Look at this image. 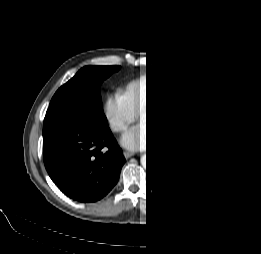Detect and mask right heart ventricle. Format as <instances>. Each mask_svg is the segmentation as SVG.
<instances>
[{
    "label": "right heart ventricle",
    "instance_id": "1",
    "mask_svg": "<svg viewBox=\"0 0 261 254\" xmlns=\"http://www.w3.org/2000/svg\"><path fill=\"white\" fill-rule=\"evenodd\" d=\"M126 97L135 111L141 110L149 102L153 101L155 94H152V83H135L126 93Z\"/></svg>",
    "mask_w": 261,
    "mask_h": 254
}]
</instances>
